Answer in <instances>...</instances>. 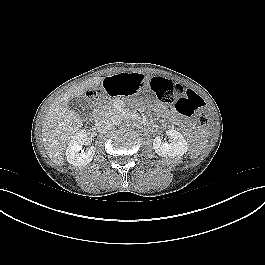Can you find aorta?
<instances>
[{
    "label": "aorta",
    "instance_id": "aorta-1",
    "mask_svg": "<svg viewBox=\"0 0 265 265\" xmlns=\"http://www.w3.org/2000/svg\"><path fill=\"white\" fill-rule=\"evenodd\" d=\"M112 125H120L123 122V116L121 114L115 113L110 117Z\"/></svg>",
    "mask_w": 265,
    "mask_h": 265
}]
</instances>
